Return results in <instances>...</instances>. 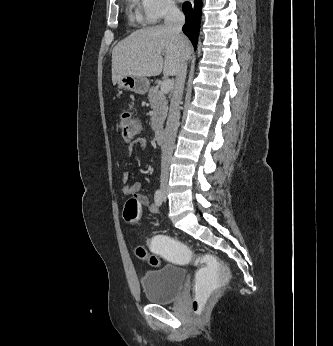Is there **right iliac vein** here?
Wrapping results in <instances>:
<instances>
[{"label":"right iliac vein","instance_id":"63e3f726","mask_svg":"<svg viewBox=\"0 0 333 346\" xmlns=\"http://www.w3.org/2000/svg\"><path fill=\"white\" fill-rule=\"evenodd\" d=\"M167 180H168V177L166 176L162 177L161 179V191L164 197L166 196V193H167Z\"/></svg>","mask_w":333,"mask_h":346}]
</instances>
